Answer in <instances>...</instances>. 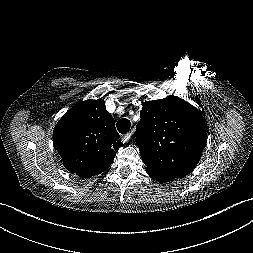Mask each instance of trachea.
<instances>
[{
    "mask_svg": "<svg viewBox=\"0 0 253 253\" xmlns=\"http://www.w3.org/2000/svg\"><path fill=\"white\" fill-rule=\"evenodd\" d=\"M130 121L126 118L120 119L117 122V129L120 133L125 134L130 130Z\"/></svg>",
    "mask_w": 253,
    "mask_h": 253,
    "instance_id": "3493384b",
    "label": "trachea"
}]
</instances>
